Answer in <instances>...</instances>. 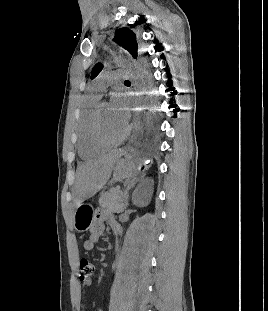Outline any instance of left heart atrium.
<instances>
[{
	"instance_id": "39dd6f15",
	"label": "left heart atrium",
	"mask_w": 268,
	"mask_h": 311,
	"mask_svg": "<svg viewBox=\"0 0 268 311\" xmlns=\"http://www.w3.org/2000/svg\"><path fill=\"white\" fill-rule=\"evenodd\" d=\"M118 116V118L124 123L127 124L129 119V108L126 107V102L124 95L121 93H116L112 96V101L110 104Z\"/></svg>"
}]
</instances>
